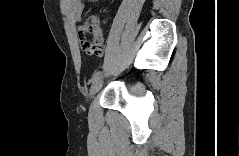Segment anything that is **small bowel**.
<instances>
[{
	"label": "small bowel",
	"instance_id": "c3829d8e",
	"mask_svg": "<svg viewBox=\"0 0 239 156\" xmlns=\"http://www.w3.org/2000/svg\"><path fill=\"white\" fill-rule=\"evenodd\" d=\"M82 9H83V4L80 0H73L69 3V11L76 21L81 20ZM78 38H79V42L82 47V42L85 40V37H84V35L79 33ZM105 47H106L105 44H103L101 42L97 45L96 51H94L92 53H88V54L94 55V56H101L105 50Z\"/></svg>",
	"mask_w": 239,
	"mask_h": 156
}]
</instances>
